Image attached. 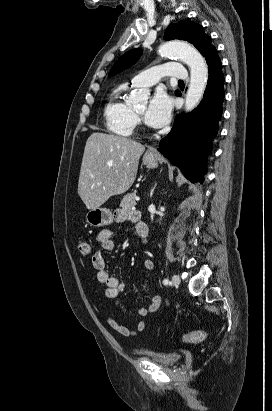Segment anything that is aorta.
<instances>
[{"instance_id":"aorta-1","label":"aorta","mask_w":272,"mask_h":411,"mask_svg":"<svg viewBox=\"0 0 272 411\" xmlns=\"http://www.w3.org/2000/svg\"><path fill=\"white\" fill-rule=\"evenodd\" d=\"M159 54L165 57H178L190 68V84L185 99L186 112L192 111L203 97L207 80L208 67L202 55L191 45L180 41H168L159 47ZM130 98L134 102H143L146 93L134 91Z\"/></svg>"}]
</instances>
